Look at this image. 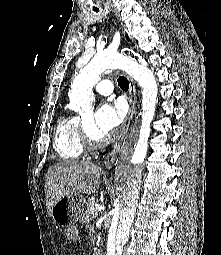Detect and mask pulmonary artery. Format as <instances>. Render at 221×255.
I'll return each mask as SVG.
<instances>
[{
	"instance_id": "obj_1",
	"label": "pulmonary artery",
	"mask_w": 221,
	"mask_h": 255,
	"mask_svg": "<svg viewBox=\"0 0 221 255\" xmlns=\"http://www.w3.org/2000/svg\"><path fill=\"white\" fill-rule=\"evenodd\" d=\"M95 89L101 95H110L113 92V84L110 80L104 79L95 84Z\"/></svg>"
}]
</instances>
